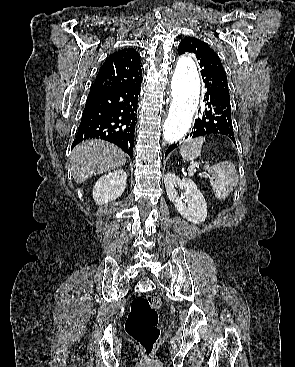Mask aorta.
Listing matches in <instances>:
<instances>
[{
	"mask_svg": "<svg viewBox=\"0 0 295 367\" xmlns=\"http://www.w3.org/2000/svg\"><path fill=\"white\" fill-rule=\"evenodd\" d=\"M172 104L163 126V137L174 143L189 131L198 106L200 78L192 58H179L171 81Z\"/></svg>",
	"mask_w": 295,
	"mask_h": 367,
	"instance_id": "obj_1",
	"label": "aorta"
}]
</instances>
